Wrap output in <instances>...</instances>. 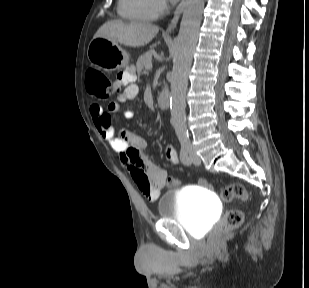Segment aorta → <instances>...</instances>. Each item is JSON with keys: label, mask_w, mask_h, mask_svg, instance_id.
Instances as JSON below:
<instances>
[{"label": "aorta", "mask_w": 309, "mask_h": 288, "mask_svg": "<svg viewBox=\"0 0 309 288\" xmlns=\"http://www.w3.org/2000/svg\"><path fill=\"white\" fill-rule=\"evenodd\" d=\"M204 0H188L183 11L175 45L171 78L170 109L171 122L178 139H186L185 96L188 74L192 63L198 32L204 10Z\"/></svg>", "instance_id": "762f6f07"}]
</instances>
